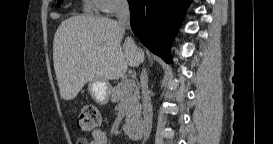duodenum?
<instances>
[{"instance_id": "410a0bca", "label": "duodenum", "mask_w": 273, "mask_h": 144, "mask_svg": "<svg viewBox=\"0 0 273 144\" xmlns=\"http://www.w3.org/2000/svg\"><path fill=\"white\" fill-rule=\"evenodd\" d=\"M125 130L128 136L133 140H138L143 135L142 126L137 123H126Z\"/></svg>"}]
</instances>
